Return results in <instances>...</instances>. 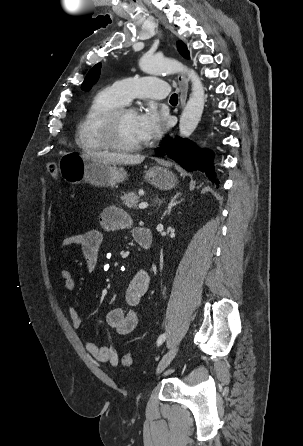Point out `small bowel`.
<instances>
[{
	"label": "small bowel",
	"mask_w": 303,
	"mask_h": 446,
	"mask_svg": "<svg viewBox=\"0 0 303 446\" xmlns=\"http://www.w3.org/2000/svg\"><path fill=\"white\" fill-rule=\"evenodd\" d=\"M100 225L104 231L111 232L130 228L132 225L128 214L122 209L110 206L103 210L100 216ZM139 228L133 229V236ZM103 233L91 229L86 232L76 233L64 237L60 244V250H66L72 246H80L88 272H93L98 265L99 252L103 243ZM59 275L64 282V290L71 293L76 289V280L67 268H61ZM150 285V276L146 270H138L130 280L125 291V306L110 310L106 315L107 324L115 329L119 335L131 333L137 326L138 317L136 308L142 297L146 294ZM69 316L74 328L82 325V316L74 306L68 308ZM87 352L100 362L113 366L118 364L116 350L109 346H99L94 342L86 343Z\"/></svg>",
	"instance_id": "c3829d8e"
}]
</instances>
